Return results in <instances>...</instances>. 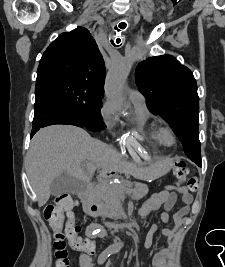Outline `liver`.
I'll return each instance as SVG.
<instances>
[{
    "mask_svg": "<svg viewBox=\"0 0 225 267\" xmlns=\"http://www.w3.org/2000/svg\"><path fill=\"white\" fill-rule=\"evenodd\" d=\"M24 163L39 207L49 200L52 181L63 173L85 184L96 168L102 169L101 177L109 170L147 176L134 164L121 161L114 149L93 139L82 128L63 124L40 129L31 141Z\"/></svg>",
    "mask_w": 225,
    "mask_h": 267,
    "instance_id": "obj_1",
    "label": "liver"
}]
</instances>
